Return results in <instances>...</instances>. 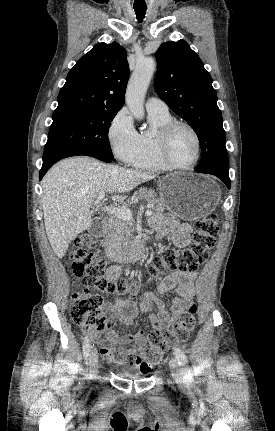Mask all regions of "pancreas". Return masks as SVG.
<instances>
[{
  "mask_svg": "<svg viewBox=\"0 0 275 431\" xmlns=\"http://www.w3.org/2000/svg\"><path fill=\"white\" fill-rule=\"evenodd\" d=\"M138 199L146 200L151 208L156 211V214L162 213L165 208H167L165 202L161 198H156L154 191L147 189H142L134 193L131 199L128 200V202L125 203L123 207L130 206ZM131 226V221L121 219L117 216H112L105 227L104 241L102 243L103 246L107 250L120 248L121 243L124 240V235L129 233Z\"/></svg>",
  "mask_w": 275,
  "mask_h": 431,
  "instance_id": "cf45deb5",
  "label": "pancreas"
}]
</instances>
